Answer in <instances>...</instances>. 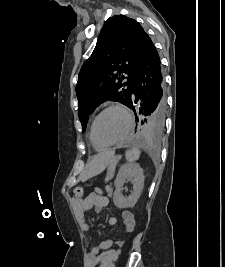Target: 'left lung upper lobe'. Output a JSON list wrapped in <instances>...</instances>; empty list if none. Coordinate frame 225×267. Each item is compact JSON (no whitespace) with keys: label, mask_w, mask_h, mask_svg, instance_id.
Here are the masks:
<instances>
[{"label":"left lung upper lobe","mask_w":225,"mask_h":267,"mask_svg":"<svg viewBox=\"0 0 225 267\" xmlns=\"http://www.w3.org/2000/svg\"><path fill=\"white\" fill-rule=\"evenodd\" d=\"M146 36L142 26L127 16L115 15L105 22L93 53L80 70L76 86L83 131L89 115L101 103L118 101L129 107L134 73ZM140 127L144 132L159 135L164 123L157 124L152 116H147L140 118Z\"/></svg>","instance_id":"1"}]
</instances>
